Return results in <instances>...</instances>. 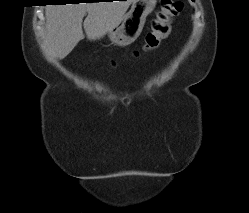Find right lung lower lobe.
<instances>
[{
  "label": "right lung lower lobe",
  "instance_id": "right-lung-lower-lobe-1",
  "mask_svg": "<svg viewBox=\"0 0 249 213\" xmlns=\"http://www.w3.org/2000/svg\"><path fill=\"white\" fill-rule=\"evenodd\" d=\"M68 0H54L53 2H57V3H65ZM94 1V0H93ZM126 1V0H125ZM93 3V2H92Z\"/></svg>",
  "mask_w": 249,
  "mask_h": 213
}]
</instances>
